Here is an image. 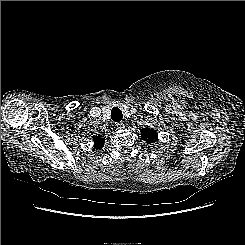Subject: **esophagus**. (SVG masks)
Returning <instances> with one entry per match:
<instances>
[{"label":"esophagus","mask_w":245,"mask_h":245,"mask_svg":"<svg viewBox=\"0 0 245 245\" xmlns=\"http://www.w3.org/2000/svg\"><path fill=\"white\" fill-rule=\"evenodd\" d=\"M115 126L117 127V129H123L124 127H125V125H124V123L123 122H117L116 124H115Z\"/></svg>","instance_id":"1"}]
</instances>
